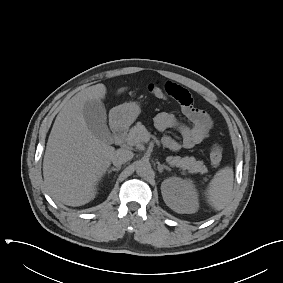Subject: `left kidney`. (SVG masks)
I'll use <instances>...</instances> for the list:
<instances>
[{
	"instance_id": "left-kidney-1",
	"label": "left kidney",
	"mask_w": 283,
	"mask_h": 283,
	"mask_svg": "<svg viewBox=\"0 0 283 283\" xmlns=\"http://www.w3.org/2000/svg\"><path fill=\"white\" fill-rule=\"evenodd\" d=\"M164 202L180 214H192L199 208L197 193L189 179L170 177L161 184Z\"/></svg>"
}]
</instances>
